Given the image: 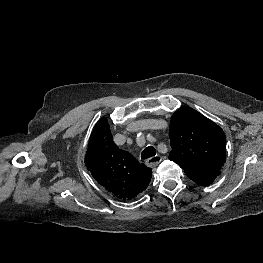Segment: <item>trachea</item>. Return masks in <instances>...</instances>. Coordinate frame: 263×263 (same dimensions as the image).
Instances as JSON below:
<instances>
[{
  "mask_svg": "<svg viewBox=\"0 0 263 263\" xmlns=\"http://www.w3.org/2000/svg\"><path fill=\"white\" fill-rule=\"evenodd\" d=\"M155 154H156L155 148L152 146H148L142 151L141 158L142 159H148L150 157L155 156Z\"/></svg>",
  "mask_w": 263,
  "mask_h": 263,
  "instance_id": "1",
  "label": "trachea"
}]
</instances>
